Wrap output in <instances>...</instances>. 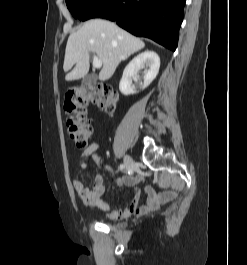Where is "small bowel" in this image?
I'll return each mask as SVG.
<instances>
[{
    "label": "small bowel",
    "instance_id": "1",
    "mask_svg": "<svg viewBox=\"0 0 247 265\" xmlns=\"http://www.w3.org/2000/svg\"><path fill=\"white\" fill-rule=\"evenodd\" d=\"M91 157L98 166L103 167L111 174L113 173L112 169L104 164L103 156L99 152V145L97 143H92L84 149L80 162L82 169H86L88 167V160ZM123 183L134 185V182L131 180H116L117 185ZM73 186L79 198L85 205L103 210L106 217L110 220L125 219L132 215H143L156 211L161 205L171 201L176 196V192L174 191L156 193L151 188H147L145 191L146 200L143 204H139L141 189L139 187H135L131 203L124 209H113L103 200L105 187L104 179L101 175H96L94 177L93 184L90 189L87 188L80 180H74Z\"/></svg>",
    "mask_w": 247,
    "mask_h": 265
}]
</instances>
